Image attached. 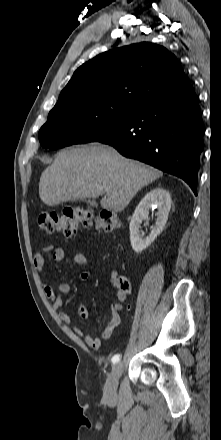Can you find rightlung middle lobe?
Segmentation results:
<instances>
[{"label":"right lung middle lobe","mask_w":221,"mask_h":440,"mask_svg":"<svg viewBox=\"0 0 221 440\" xmlns=\"http://www.w3.org/2000/svg\"><path fill=\"white\" fill-rule=\"evenodd\" d=\"M135 109L113 102L75 103L52 109L39 131L40 144L54 150L95 142L119 127Z\"/></svg>","instance_id":"right-lung-middle-lobe-1"}]
</instances>
